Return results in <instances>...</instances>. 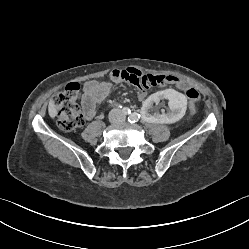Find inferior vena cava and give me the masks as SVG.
I'll list each match as a JSON object with an SVG mask.
<instances>
[{
	"label": "inferior vena cava",
	"mask_w": 249,
	"mask_h": 249,
	"mask_svg": "<svg viewBox=\"0 0 249 249\" xmlns=\"http://www.w3.org/2000/svg\"><path fill=\"white\" fill-rule=\"evenodd\" d=\"M110 119L114 122H123L125 120V115L118 109H114L110 112Z\"/></svg>",
	"instance_id": "obj_1"
}]
</instances>
